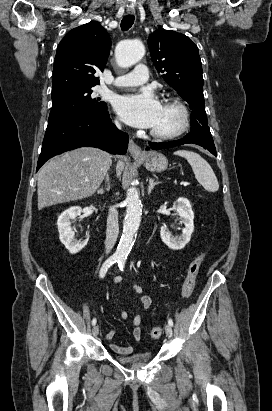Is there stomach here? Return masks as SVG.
<instances>
[{
  "instance_id": "obj_1",
  "label": "stomach",
  "mask_w": 272,
  "mask_h": 411,
  "mask_svg": "<svg viewBox=\"0 0 272 411\" xmlns=\"http://www.w3.org/2000/svg\"><path fill=\"white\" fill-rule=\"evenodd\" d=\"M137 160L144 162L145 167L153 172H161L167 169V158L158 152H150L145 157H135Z\"/></svg>"
}]
</instances>
